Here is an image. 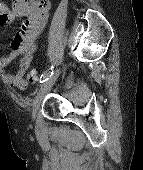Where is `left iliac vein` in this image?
<instances>
[{"label":"left iliac vein","instance_id":"1","mask_svg":"<svg viewBox=\"0 0 143 170\" xmlns=\"http://www.w3.org/2000/svg\"><path fill=\"white\" fill-rule=\"evenodd\" d=\"M60 69L56 70L55 73L49 77L47 81H45L39 88L37 95L33 102V109H32V117L35 118L37 111L40 107L41 100L43 97L49 92L51 87L56 82L57 78L59 77Z\"/></svg>","mask_w":143,"mask_h":170}]
</instances>
